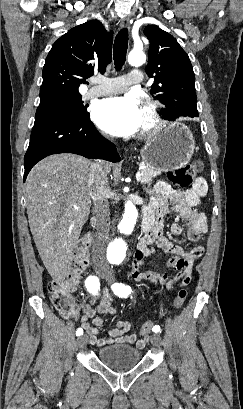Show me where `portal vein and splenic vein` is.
Wrapping results in <instances>:
<instances>
[{"instance_id":"portal-vein-and-splenic-vein-1","label":"portal vein and splenic vein","mask_w":243,"mask_h":409,"mask_svg":"<svg viewBox=\"0 0 243 409\" xmlns=\"http://www.w3.org/2000/svg\"><path fill=\"white\" fill-rule=\"evenodd\" d=\"M136 179L138 182L141 180V172L136 173Z\"/></svg>"}]
</instances>
